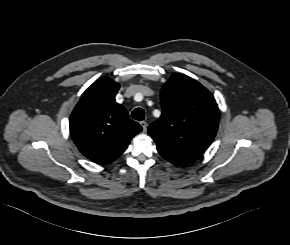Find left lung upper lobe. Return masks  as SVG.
I'll use <instances>...</instances> for the list:
<instances>
[{
  "instance_id": "1",
  "label": "left lung upper lobe",
  "mask_w": 290,
  "mask_h": 245,
  "mask_svg": "<svg viewBox=\"0 0 290 245\" xmlns=\"http://www.w3.org/2000/svg\"><path fill=\"white\" fill-rule=\"evenodd\" d=\"M162 115L148 133L165 156L192 163L212 143L219 123L213 95L196 80L173 74L161 90Z\"/></svg>"
}]
</instances>
